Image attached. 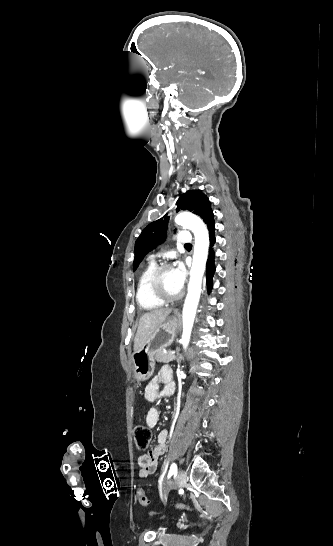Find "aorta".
I'll return each instance as SVG.
<instances>
[{
	"instance_id": "762f6f07",
	"label": "aorta",
	"mask_w": 333,
	"mask_h": 546,
	"mask_svg": "<svg viewBox=\"0 0 333 546\" xmlns=\"http://www.w3.org/2000/svg\"><path fill=\"white\" fill-rule=\"evenodd\" d=\"M175 223L192 230L195 236L193 264L190 271L188 294L183 307V333L181 343L186 349L191 336V331L196 315V309L200 298L202 277L208 256L209 235L203 221L194 214L181 212L175 217Z\"/></svg>"
}]
</instances>
